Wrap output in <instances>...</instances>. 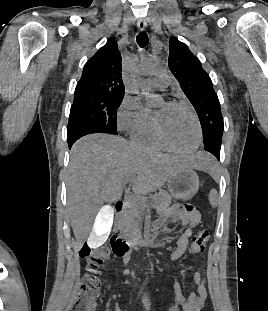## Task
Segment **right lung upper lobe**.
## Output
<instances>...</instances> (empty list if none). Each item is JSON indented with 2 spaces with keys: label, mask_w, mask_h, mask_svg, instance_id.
Returning a JSON list of instances; mask_svg holds the SVG:
<instances>
[{
  "label": "right lung upper lobe",
  "mask_w": 268,
  "mask_h": 311,
  "mask_svg": "<svg viewBox=\"0 0 268 311\" xmlns=\"http://www.w3.org/2000/svg\"><path fill=\"white\" fill-rule=\"evenodd\" d=\"M121 54L114 39H109L84 66L75 94H100L124 97Z\"/></svg>",
  "instance_id": "right-lung-upper-lobe-1"
}]
</instances>
